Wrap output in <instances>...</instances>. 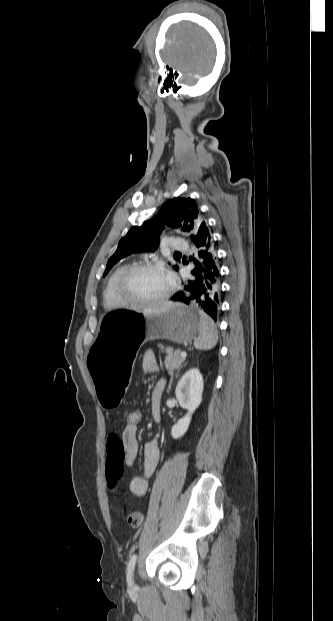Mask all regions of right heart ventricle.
Instances as JSON below:
<instances>
[{"mask_svg": "<svg viewBox=\"0 0 333 621\" xmlns=\"http://www.w3.org/2000/svg\"><path fill=\"white\" fill-rule=\"evenodd\" d=\"M127 268V265H120L108 277L103 290V304L107 308L120 306L121 303L117 297L115 285L118 277Z\"/></svg>", "mask_w": 333, "mask_h": 621, "instance_id": "1", "label": "right heart ventricle"}]
</instances>
